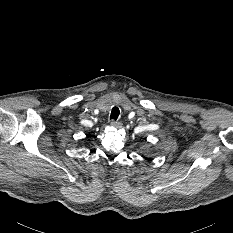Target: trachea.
I'll list each match as a JSON object with an SVG mask.
<instances>
[{
  "label": "trachea",
  "mask_w": 233,
  "mask_h": 233,
  "mask_svg": "<svg viewBox=\"0 0 233 233\" xmlns=\"http://www.w3.org/2000/svg\"><path fill=\"white\" fill-rule=\"evenodd\" d=\"M119 114H120V110L118 107H113L112 108V111H111V116H110V119H113L114 121L117 120V118L119 117Z\"/></svg>",
  "instance_id": "1"
}]
</instances>
